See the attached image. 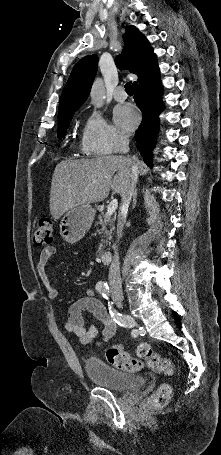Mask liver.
<instances>
[{
    "label": "liver",
    "mask_w": 221,
    "mask_h": 455,
    "mask_svg": "<svg viewBox=\"0 0 221 455\" xmlns=\"http://www.w3.org/2000/svg\"><path fill=\"white\" fill-rule=\"evenodd\" d=\"M133 164L141 175H146L148 168L142 161L125 156L61 161L54 170L51 182V215L59 219L75 206L100 202L110 190L122 195Z\"/></svg>",
    "instance_id": "6515ba94"
}]
</instances>
